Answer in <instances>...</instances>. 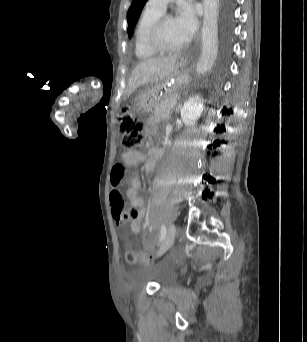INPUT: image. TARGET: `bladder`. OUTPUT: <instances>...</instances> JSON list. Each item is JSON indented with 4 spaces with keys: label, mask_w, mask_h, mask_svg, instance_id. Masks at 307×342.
<instances>
[{
    "label": "bladder",
    "mask_w": 307,
    "mask_h": 342,
    "mask_svg": "<svg viewBox=\"0 0 307 342\" xmlns=\"http://www.w3.org/2000/svg\"><path fill=\"white\" fill-rule=\"evenodd\" d=\"M170 281H171V278H170V277H164V278H162V279L159 281V283H160L161 285H166V284H168Z\"/></svg>",
    "instance_id": "obj_1"
}]
</instances>
